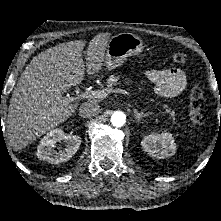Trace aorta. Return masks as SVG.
Wrapping results in <instances>:
<instances>
[{"label":"aorta","instance_id":"obj_1","mask_svg":"<svg viewBox=\"0 0 221 221\" xmlns=\"http://www.w3.org/2000/svg\"><path fill=\"white\" fill-rule=\"evenodd\" d=\"M111 124L115 127H122L126 123V115L122 111H116L111 116Z\"/></svg>","mask_w":221,"mask_h":221}]
</instances>
